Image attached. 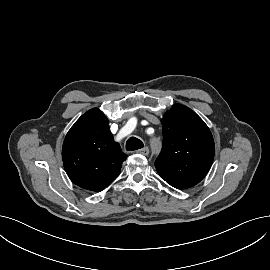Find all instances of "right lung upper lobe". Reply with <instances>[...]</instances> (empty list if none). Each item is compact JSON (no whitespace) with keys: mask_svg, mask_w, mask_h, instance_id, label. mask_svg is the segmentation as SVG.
I'll list each match as a JSON object with an SVG mask.
<instances>
[{"mask_svg":"<svg viewBox=\"0 0 270 270\" xmlns=\"http://www.w3.org/2000/svg\"><path fill=\"white\" fill-rule=\"evenodd\" d=\"M126 158L113 139L108 119L96 108L75 122L62 147L67 175L74 184L90 191L99 192L110 185Z\"/></svg>","mask_w":270,"mask_h":270,"instance_id":"cb5924a9","label":"right lung upper lobe"}]
</instances>
